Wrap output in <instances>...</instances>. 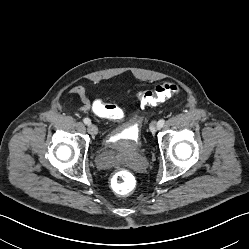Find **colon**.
I'll return each mask as SVG.
<instances>
[{"label":"colon","mask_w":249,"mask_h":249,"mask_svg":"<svg viewBox=\"0 0 249 249\" xmlns=\"http://www.w3.org/2000/svg\"><path fill=\"white\" fill-rule=\"evenodd\" d=\"M179 92L180 86L177 83L165 82L155 86L152 90L139 92L138 99L145 106H154ZM134 183V175L126 168L119 169L111 179L113 191L122 196L129 194L133 190Z\"/></svg>","instance_id":"obj_1"}]
</instances>
